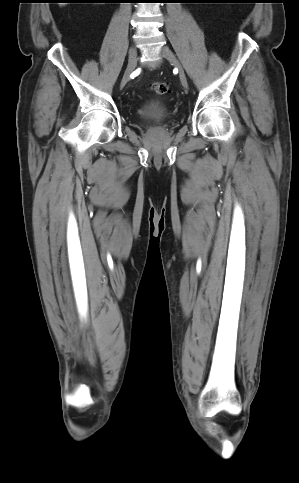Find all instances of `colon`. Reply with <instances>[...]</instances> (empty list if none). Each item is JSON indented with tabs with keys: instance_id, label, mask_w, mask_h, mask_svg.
Wrapping results in <instances>:
<instances>
[{
	"instance_id": "obj_1",
	"label": "colon",
	"mask_w": 299,
	"mask_h": 483,
	"mask_svg": "<svg viewBox=\"0 0 299 483\" xmlns=\"http://www.w3.org/2000/svg\"><path fill=\"white\" fill-rule=\"evenodd\" d=\"M151 90L157 95H164L169 91V83L165 81H155L150 84Z\"/></svg>"
}]
</instances>
